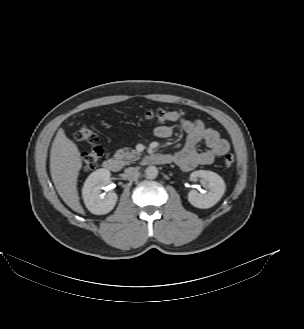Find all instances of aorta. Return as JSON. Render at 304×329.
<instances>
[{
  "instance_id": "obj_1",
  "label": "aorta",
  "mask_w": 304,
  "mask_h": 329,
  "mask_svg": "<svg viewBox=\"0 0 304 329\" xmlns=\"http://www.w3.org/2000/svg\"><path fill=\"white\" fill-rule=\"evenodd\" d=\"M145 173L148 179H155L158 176V169L156 166L151 165L146 168Z\"/></svg>"
}]
</instances>
